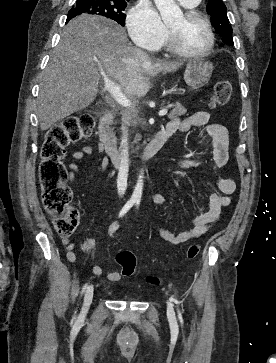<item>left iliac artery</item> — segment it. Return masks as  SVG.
<instances>
[{
  "label": "left iliac artery",
  "mask_w": 276,
  "mask_h": 363,
  "mask_svg": "<svg viewBox=\"0 0 276 363\" xmlns=\"http://www.w3.org/2000/svg\"><path fill=\"white\" fill-rule=\"evenodd\" d=\"M136 204H137V206H138V205H139V201H137V202H136ZM172 301H173L174 303H176V304L178 303V301H177V299H176V298H172Z\"/></svg>",
  "instance_id": "44dca946"
}]
</instances>
